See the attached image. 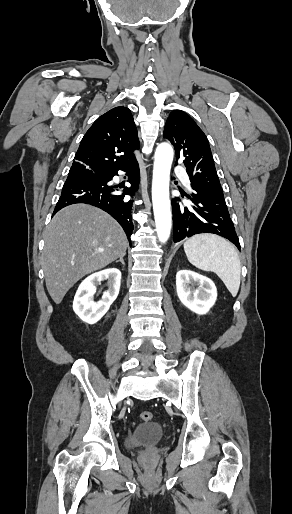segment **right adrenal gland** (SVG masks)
<instances>
[{
  "label": "right adrenal gland",
  "mask_w": 292,
  "mask_h": 514,
  "mask_svg": "<svg viewBox=\"0 0 292 514\" xmlns=\"http://www.w3.org/2000/svg\"><path fill=\"white\" fill-rule=\"evenodd\" d=\"M124 256H121V258H119V260H117V262H121V264H123V266H125V262L123 260Z\"/></svg>",
  "instance_id": "2a0ac1e0"
}]
</instances>
